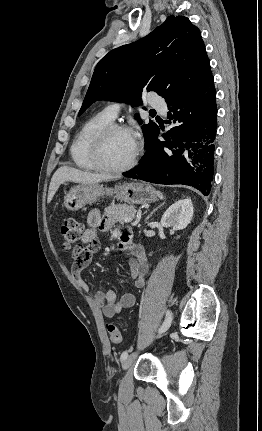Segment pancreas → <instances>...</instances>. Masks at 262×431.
Here are the masks:
<instances>
[{
	"instance_id": "1",
	"label": "pancreas",
	"mask_w": 262,
	"mask_h": 431,
	"mask_svg": "<svg viewBox=\"0 0 262 431\" xmlns=\"http://www.w3.org/2000/svg\"><path fill=\"white\" fill-rule=\"evenodd\" d=\"M105 212L110 218L116 222H119L120 224L125 223V218L134 216L136 214L135 207L128 206L126 204L108 206L105 208Z\"/></svg>"
}]
</instances>
